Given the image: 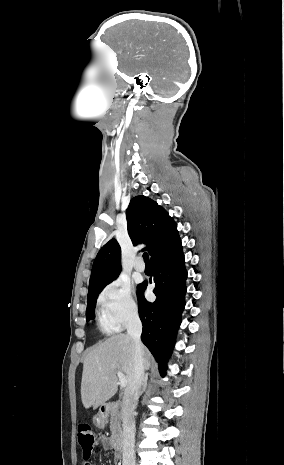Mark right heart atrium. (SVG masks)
<instances>
[{
    "label": "right heart atrium",
    "instance_id": "d8ad5b80",
    "mask_svg": "<svg viewBox=\"0 0 284 465\" xmlns=\"http://www.w3.org/2000/svg\"><path fill=\"white\" fill-rule=\"evenodd\" d=\"M97 305L115 328H124L125 324L135 322L140 315L131 288L119 280L109 283L102 289L97 298Z\"/></svg>",
    "mask_w": 284,
    "mask_h": 465
}]
</instances>
